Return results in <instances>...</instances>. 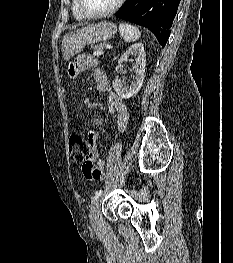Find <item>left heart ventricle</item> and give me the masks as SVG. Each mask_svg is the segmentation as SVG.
<instances>
[{
	"mask_svg": "<svg viewBox=\"0 0 233 263\" xmlns=\"http://www.w3.org/2000/svg\"><path fill=\"white\" fill-rule=\"evenodd\" d=\"M116 0H82V6L89 13H99L109 9Z\"/></svg>",
	"mask_w": 233,
	"mask_h": 263,
	"instance_id": "left-heart-ventricle-1",
	"label": "left heart ventricle"
}]
</instances>
